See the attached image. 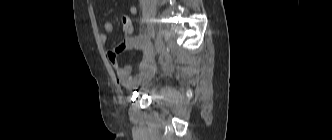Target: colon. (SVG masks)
Instances as JSON below:
<instances>
[{"label":"colon","instance_id":"1","mask_svg":"<svg viewBox=\"0 0 332 140\" xmlns=\"http://www.w3.org/2000/svg\"><path fill=\"white\" fill-rule=\"evenodd\" d=\"M120 20L124 35L131 36L134 31V25L131 19L127 15H122Z\"/></svg>","mask_w":332,"mask_h":140}]
</instances>
